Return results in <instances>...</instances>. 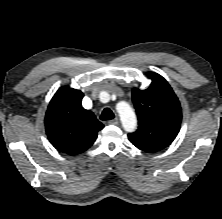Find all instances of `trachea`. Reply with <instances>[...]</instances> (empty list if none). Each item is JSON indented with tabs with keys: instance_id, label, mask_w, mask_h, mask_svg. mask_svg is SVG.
Segmentation results:
<instances>
[{
	"instance_id": "3493384b",
	"label": "trachea",
	"mask_w": 222,
	"mask_h": 219,
	"mask_svg": "<svg viewBox=\"0 0 222 219\" xmlns=\"http://www.w3.org/2000/svg\"><path fill=\"white\" fill-rule=\"evenodd\" d=\"M115 116H114V113L112 112L111 109L109 108H105L103 111H102V114H101V120L103 121H107V120H111L113 119Z\"/></svg>"
}]
</instances>
